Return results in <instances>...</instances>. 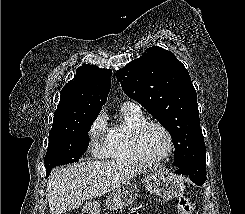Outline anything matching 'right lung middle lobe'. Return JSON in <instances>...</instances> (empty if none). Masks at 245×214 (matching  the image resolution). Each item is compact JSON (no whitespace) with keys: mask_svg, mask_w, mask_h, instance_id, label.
<instances>
[{"mask_svg":"<svg viewBox=\"0 0 245 214\" xmlns=\"http://www.w3.org/2000/svg\"><path fill=\"white\" fill-rule=\"evenodd\" d=\"M99 112L83 114L70 128L49 135V146L44 158L46 177L56 166L77 162L89 145L88 132Z\"/></svg>","mask_w":245,"mask_h":214,"instance_id":"dd1d6c3e","label":"right lung middle lobe"}]
</instances>
